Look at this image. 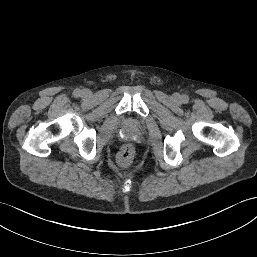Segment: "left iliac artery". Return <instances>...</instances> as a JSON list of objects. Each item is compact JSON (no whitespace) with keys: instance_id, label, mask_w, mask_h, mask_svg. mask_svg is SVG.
<instances>
[{"instance_id":"1","label":"left iliac artery","mask_w":257,"mask_h":257,"mask_svg":"<svg viewBox=\"0 0 257 257\" xmlns=\"http://www.w3.org/2000/svg\"><path fill=\"white\" fill-rule=\"evenodd\" d=\"M182 101H183L184 103H188L189 97H188L187 95H183V96H182Z\"/></svg>"}]
</instances>
